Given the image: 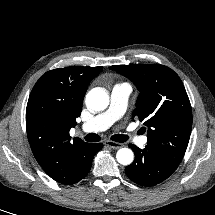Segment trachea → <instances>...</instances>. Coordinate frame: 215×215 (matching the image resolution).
Returning a JSON list of instances; mask_svg holds the SVG:
<instances>
[{"instance_id":"1","label":"trachea","mask_w":215,"mask_h":215,"mask_svg":"<svg viewBox=\"0 0 215 215\" xmlns=\"http://www.w3.org/2000/svg\"><path fill=\"white\" fill-rule=\"evenodd\" d=\"M84 139L88 142H98L100 141V137L97 135V134H94V133H91V134H88L84 137ZM111 139L113 141H116V142H126L129 137L127 135H113L111 137Z\"/></svg>"}]
</instances>
